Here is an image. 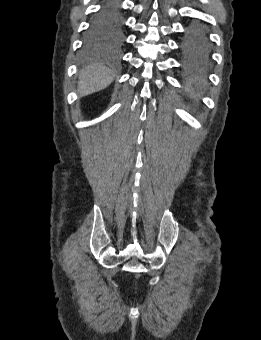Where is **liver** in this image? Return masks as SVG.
Here are the masks:
<instances>
[{
    "instance_id": "liver-1",
    "label": "liver",
    "mask_w": 261,
    "mask_h": 340,
    "mask_svg": "<svg viewBox=\"0 0 261 340\" xmlns=\"http://www.w3.org/2000/svg\"><path fill=\"white\" fill-rule=\"evenodd\" d=\"M114 79V74L102 65H91L82 69L79 76L78 92L86 96L106 88Z\"/></svg>"
}]
</instances>
